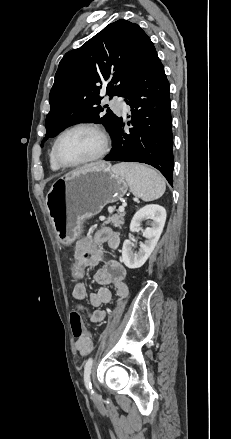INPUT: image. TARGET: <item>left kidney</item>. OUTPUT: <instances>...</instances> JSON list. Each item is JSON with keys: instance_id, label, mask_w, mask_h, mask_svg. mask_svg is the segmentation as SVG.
I'll list each match as a JSON object with an SVG mask.
<instances>
[{"instance_id": "obj_1", "label": "left kidney", "mask_w": 231, "mask_h": 439, "mask_svg": "<svg viewBox=\"0 0 231 439\" xmlns=\"http://www.w3.org/2000/svg\"><path fill=\"white\" fill-rule=\"evenodd\" d=\"M144 220H151L150 227L143 230L144 243H140L139 250L133 252L131 240H125L122 247V261L130 269L141 267L153 252L163 231L166 221V210L157 204H149L138 210L130 223V231L140 230Z\"/></svg>"}]
</instances>
